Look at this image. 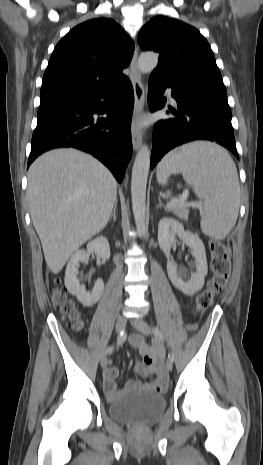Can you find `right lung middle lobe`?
Returning <instances> with one entry per match:
<instances>
[{
  "instance_id": "dd1d6c3e",
  "label": "right lung middle lobe",
  "mask_w": 263,
  "mask_h": 465,
  "mask_svg": "<svg viewBox=\"0 0 263 465\" xmlns=\"http://www.w3.org/2000/svg\"><path fill=\"white\" fill-rule=\"evenodd\" d=\"M48 101H52V100H48ZM48 101H41L40 104H43V103L48 102Z\"/></svg>"
}]
</instances>
